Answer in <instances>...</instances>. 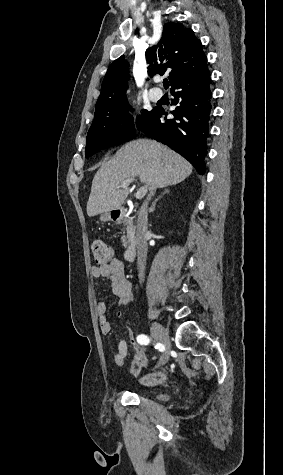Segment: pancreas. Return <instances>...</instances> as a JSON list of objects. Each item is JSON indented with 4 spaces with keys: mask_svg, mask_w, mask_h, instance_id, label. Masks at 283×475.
<instances>
[{
    "mask_svg": "<svg viewBox=\"0 0 283 475\" xmlns=\"http://www.w3.org/2000/svg\"><path fill=\"white\" fill-rule=\"evenodd\" d=\"M126 234L127 236H122V243L124 247H127V245H130L131 241L135 238L134 232H132L131 228H126Z\"/></svg>",
    "mask_w": 283,
    "mask_h": 475,
    "instance_id": "1",
    "label": "pancreas"
}]
</instances>
